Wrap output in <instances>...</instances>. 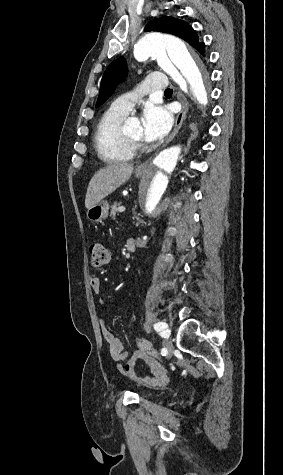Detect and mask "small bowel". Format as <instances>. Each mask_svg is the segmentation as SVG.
<instances>
[{"mask_svg": "<svg viewBox=\"0 0 283 475\" xmlns=\"http://www.w3.org/2000/svg\"><path fill=\"white\" fill-rule=\"evenodd\" d=\"M90 286L93 292H95L96 294H99L101 291L100 278L98 276L91 277ZM100 303H104V301L100 300ZM100 327H101V333L104 339L109 344L111 358L117 363L126 361V364L121 368L122 372L126 376H128L129 378L135 379L138 382H148L152 380L157 381V382H163L167 380L168 376L164 367H162L161 369H151L152 377H138L135 372V368L138 362L128 361L129 351L125 349L122 340L118 336H116L110 329L107 315H103L101 317Z\"/></svg>", "mask_w": 283, "mask_h": 475, "instance_id": "small-bowel-1", "label": "small bowel"}]
</instances>
